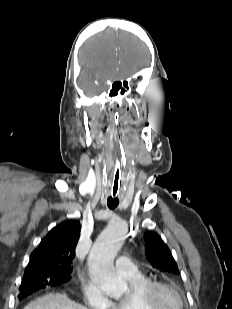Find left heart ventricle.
Instances as JSON below:
<instances>
[{
    "label": "left heart ventricle",
    "mask_w": 232,
    "mask_h": 309,
    "mask_svg": "<svg viewBox=\"0 0 232 309\" xmlns=\"http://www.w3.org/2000/svg\"><path fill=\"white\" fill-rule=\"evenodd\" d=\"M160 300L163 309H179V299L171 291H163L160 295Z\"/></svg>",
    "instance_id": "left-heart-ventricle-1"
}]
</instances>
